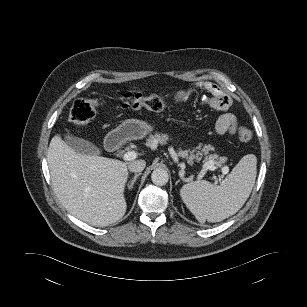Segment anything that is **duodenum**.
<instances>
[{
    "label": "duodenum",
    "instance_id": "410a0bca",
    "mask_svg": "<svg viewBox=\"0 0 307 307\" xmlns=\"http://www.w3.org/2000/svg\"><path fill=\"white\" fill-rule=\"evenodd\" d=\"M112 148L114 151L119 150L120 149V145L116 144L115 142H112Z\"/></svg>",
    "mask_w": 307,
    "mask_h": 307
}]
</instances>
